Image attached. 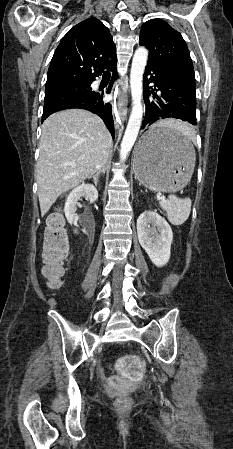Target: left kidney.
<instances>
[{
	"mask_svg": "<svg viewBox=\"0 0 233 449\" xmlns=\"http://www.w3.org/2000/svg\"><path fill=\"white\" fill-rule=\"evenodd\" d=\"M139 243L157 267L170 259L173 232L168 222L153 211L143 212L137 219Z\"/></svg>",
	"mask_w": 233,
	"mask_h": 449,
	"instance_id": "1",
	"label": "left kidney"
}]
</instances>
